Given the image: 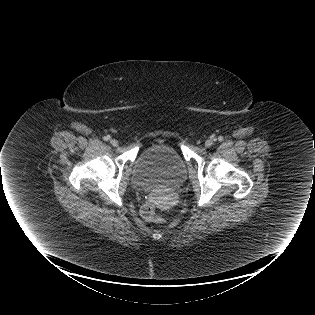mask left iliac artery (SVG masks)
I'll use <instances>...</instances> for the list:
<instances>
[{"mask_svg":"<svg viewBox=\"0 0 315 315\" xmlns=\"http://www.w3.org/2000/svg\"><path fill=\"white\" fill-rule=\"evenodd\" d=\"M218 139H219V141H222V140H223V137H222V136H220Z\"/></svg>","mask_w":315,"mask_h":315,"instance_id":"left-iliac-artery-1","label":"left iliac artery"}]
</instances>
